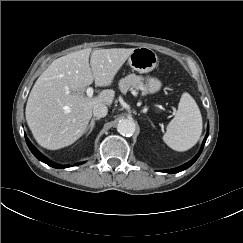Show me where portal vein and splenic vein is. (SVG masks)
I'll list each match as a JSON object with an SVG mask.
<instances>
[{"mask_svg":"<svg viewBox=\"0 0 243 243\" xmlns=\"http://www.w3.org/2000/svg\"><path fill=\"white\" fill-rule=\"evenodd\" d=\"M93 92H94V90H93L92 87H88L87 90H86L87 96L89 98H91L93 96ZM133 93H135V92H133Z\"/></svg>","mask_w":243,"mask_h":243,"instance_id":"obj_1","label":"portal vein and splenic vein"}]
</instances>
